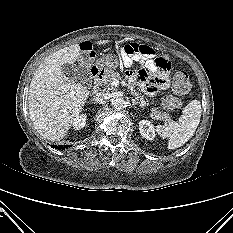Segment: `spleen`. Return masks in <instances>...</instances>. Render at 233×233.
Here are the masks:
<instances>
[{"mask_svg":"<svg viewBox=\"0 0 233 233\" xmlns=\"http://www.w3.org/2000/svg\"><path fill=\"white\" fill-rule=\"evenodd\" d=\"M201 103L199 100L190 101L182 111L178 122L170 121L165 125H157L159 136L168 138V149L183 146L194 134L200 123Z\"/></svg>","mask_w":233,"mask_h":233,"instance_id":"obj_1","label":"spleen"}]
</instances>
